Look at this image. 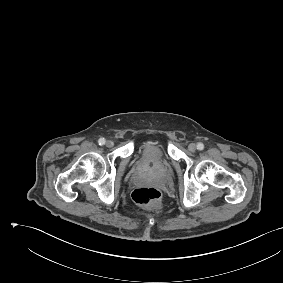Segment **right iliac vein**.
Masks as SVG:
<instances>
[{"instance_id": "63e3f726", "label": "right iliac vein", "mask_w": 283, "mask_h": 283, "mask_svg": "<svg viewBox=\"0 0 283 283\" xmlns=\"http://www.w3.org/2000/svg\"><path fill=\"white\" fill-rule=\"evenodd\" d=\"M113 145H114V143H113V141H111V140H108V141L106 142V146L109 147V148L113 147Z\"/></svg>"}]
</instances>
